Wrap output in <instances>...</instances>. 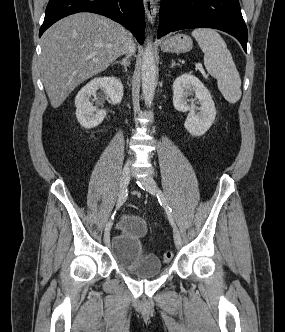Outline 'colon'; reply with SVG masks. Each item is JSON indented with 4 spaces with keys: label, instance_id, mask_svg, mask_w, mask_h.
<instances>
[{
    "label": "colon",
    "instance_id": "colon-1",
    "mask_svg": "<svg viewBox=\"0 0 285 332\" xmlns=\"http://www.w3.org/2000/svg\"><path fill=\"white\" fill-rule=\"evenodd\" d=\"M172 258H173V253H172L171 251H167V252H165L164 255H163V260H164L165 262H169V261H171Z\"/></svg>",
    "mask_w": 285,
    "mask_h": 332
}]
</instances>
